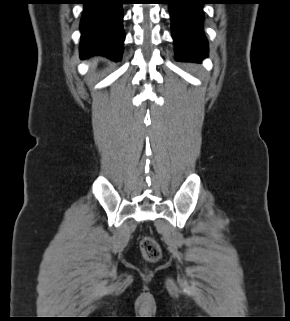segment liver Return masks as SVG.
<instances>
[{
  "label": "liver",
  "mask_w": 290,
  "mask_h": 321,
  "mask_svg": "<svg viewBox=\"0 0 290 321\" xmlns=\"http://www.w3.org/2000/svg\"><path fill=\"white\" fill-rule=\"evenodd\" d=\"M96 64V61H94V64L93 65H95Z\"/></svg>",
  "instance_id": "obj_1"
}]
</instances>
